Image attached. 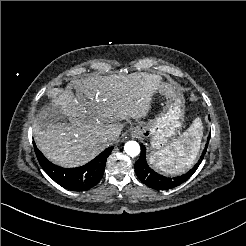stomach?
Listing matches in <instances>:
<instances>
[{
    "instance_id": "1",
    "label": "stomach",
    "mask_w": 246,
    "mask_h": 246,
    "mask_svg": "<svg viewBox=\"0 0 246 246\" xmlns=\"http://www.w3.org/2000/svg\"><path fill=\"white\" fill-rule=\"evenodd\" d=\"M155 91L164 97L166 101L164 109L154 120L134 128L132 135L150 138L151 146L160 149L168 144L177 129L181 127L183 110L181 99L175 97L167 87L163 86Z\"/></svg>"
}]
</instances>
